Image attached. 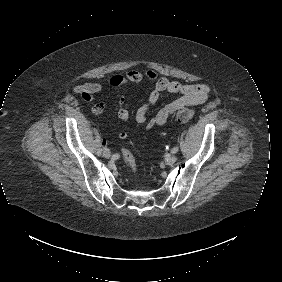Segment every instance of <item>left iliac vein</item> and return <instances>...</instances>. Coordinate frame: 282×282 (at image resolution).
<instances>
[{
	"instance_id": "left-iliac-vein-1",
	"label": "left iliac vein",
	"mask_w": 282,
	"mask_h": 282,
	"mask_svg": "<svg viewBox=\"0 0 282 282\" xmlns=\"http://www.w3.org/2000/svg\"><path fill=\"white\" fill-rule=\"evenodd\" d=\"M177 160V157L175 155H169L166 157L165 162L167 165H173Z\"/></svg>"
}]
</instances>
